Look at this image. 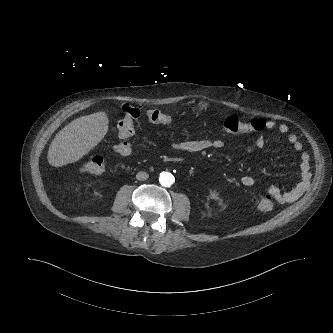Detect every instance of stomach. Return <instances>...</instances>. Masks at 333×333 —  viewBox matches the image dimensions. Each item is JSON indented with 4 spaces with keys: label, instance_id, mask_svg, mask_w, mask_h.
I'll use <instances>...</instances> for the list:
<instances>
[{
    "label": "stomach",
    "instance_id": "stomach-1",
    "mask_svg": "<svg viewBox=\"0 0 333 333\" xmlns=\"http://www.w3.org/2000/svg\"><path fill=\"white\" fill-rule=\"evenodd\" d=\"M198 107H199V108L203 107V103H202V102H199V103H198Z\"/></svg>",
    "mask_w": 333,
    "mask_h": 333
}]
</instances>
